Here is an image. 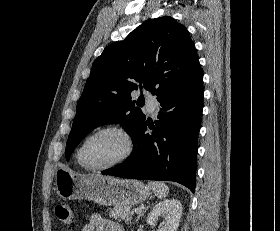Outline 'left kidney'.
<instances>
[{
	"instance_id": "left-kidney-1",
	"label": "left kidney",
	"mask_w": 280,
	"mask_h": 231,
	"mask_svg": "<svg viewBox=\"0 0 280 231\" xmlns=\"http://www.w3.org/2000/svg\"><path fill=\"white\" fill-rule=\"evenodd\" d=\"M182 211V203L179 199H164L159 201L147 215V223L152 225L163 217L157 231H177Z\"/></svg>"
}]
</instances>
